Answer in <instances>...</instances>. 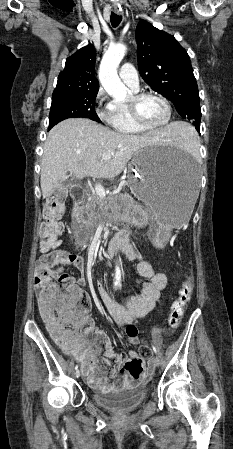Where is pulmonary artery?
Masks as SVG:
<instances>
[{
  "label": "pulmonary artery",
  "instance_id": "e3ab8cb5",
  "mask_svg": "<svg viewBox=\"0 0 233 449\" xmlns=\"http://www.w3.org/2000/svg\"><path fill=\"white\" fill-rule=\"evenodd\" d=\"M120 79L132 89L139 88V77L135 67L130 63L122 65L119 71Z\"/></svg>",
  "mask_w": 233,
  "mask_h": 449
}]
</instances>
